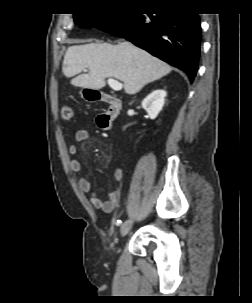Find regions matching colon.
Returning <instances> with one entry per match:
<instances>
[{"label": "colon", "mask_w": 252, "mask_h": 303, "mask_svg": "<svg viewBox=\"0 0 252 303\" xmlns=\"http://www.w3.org/2000/svg\"><path fill=\"white\" fill-rule=\"evenodd\" d=\"M60 116L65 121H71L74 117V111L71 105L64 104L60 109Z\"/></svg>", "instance_id": "obj_1"}]
</instances>
